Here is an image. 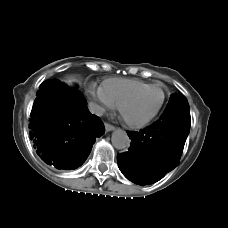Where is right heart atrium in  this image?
I'll use <instances>...</instances> for the list:
<instances>
[{
  "mask_svg": "<svg viewBox=\"0 0 228 228\" xmlns=\"http://www.w3.org/2000/svg\"><path fill=\"white\" fill-rule=\"evenodd\" d=\"M89 94L97 110L104 111L114 108V104L106 97L101 88L95 90L94 87L91 86L89 88Z\"/></svg>",
  "mask_w": 228,
  "mask_h": 228,
  "instance_id": "right-heart-atrium-1",
  "label": "right heart atrium"
}]
</instances>
